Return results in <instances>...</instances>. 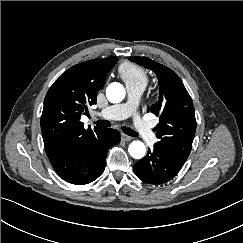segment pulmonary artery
<instances>
[{
    "instance_id": "obj_1",
    "label": "pulmonary artery",
    "mask_w": 243,
    "mask_h": 243,
    "mask_svg": "<svg viewBox=\"0 0 243 243\" xmlns=\"http://www.w3.org/2000/svg\"><path fill=\"white\" fill-rule=\"evenodd\" d=\"M126 89L128 98L125 103L104 108L97 112L96 115L105 119H124L133 116V124L136 132L144 141L152 144L155 142L156 138L150 124L136 113L144 87L141 85H126Z\"/></svg>"
}]
</instances>
